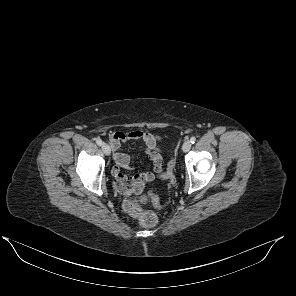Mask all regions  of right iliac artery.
I'll return each instance as SVG.
<instances>
[{"label": "right iliac artery", "mask_w": 296, "mask_h": 296, "mask_svg": "<svg viewBox=\"0 0 296 296\" xmlns=\"http://www.w3.org/2000/svg\"><path fill=\"white\" fill-rule=\"evenodd\" d=\"M96 143H97V145L101 146L102 145V140L100 138H97Z\"/></svg>", "instance_id": "obj_1"}]
</instances>
